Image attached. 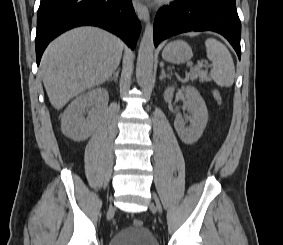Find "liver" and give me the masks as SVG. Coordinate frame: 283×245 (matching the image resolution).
<instances>
[{
  "label": "liver",
  "instance_id": "obj_1",
  "mask_svg": "<svg viewBox=\"0 0 283 245\" xmlns=\"http://www.w3.org/2000/svg\"><path fill=\"white\" fill-rule=\"evenodd\" d=\"M123 49L119 38L96 27L70 30L50 43L40 74L52 106L62 109L73 97L107 81Z\"/></svg>",
  "mask_w": 283,
  "mask_h": 245
}]
</instances>
